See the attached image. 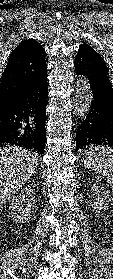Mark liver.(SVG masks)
Listing matches in <instances>:
<instances>
[{"mask_svg": "<svg viewBox=\"0 0 113 279\" xmlns=\"http://www.w3.org/2000/svg\"><path fill=\"white\" fill-rule=\"evenodd\" d=\"M38 155L22 147L0 148V206L9 201L34 173Z\"/></svg>", "mask_w": 113, "mask_h": 279, "instance_id": "1", "label": "liver"}]
</instances>
